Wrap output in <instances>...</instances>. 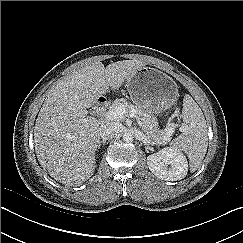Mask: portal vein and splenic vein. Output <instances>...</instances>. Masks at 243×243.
<instances>
[{"label": "portal vein and splenic vein", "mask_w": 243, "mask_h": 243, "mask_svg": "<svg viewBox=\"0 0 243 243\" xmlns=\"http://www.w3.org/2000/svg\"><path fill=\"white\" fill-rule=\"evenodd\" d=\"M129 114L131 118L136 117V110L132 107L129 109V111H126L124 105L120 104L106 113L103 114V116L107 120H117V119H122L126 114Z\"/></svg>", "instance_id": "1"}]
</instances>
